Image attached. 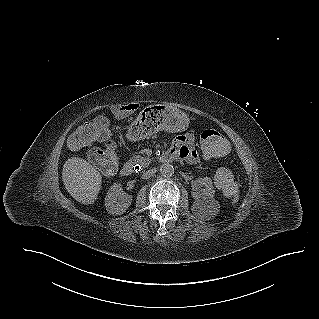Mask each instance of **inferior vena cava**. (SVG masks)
<instances>
[{
  "instance_id": "obj_1",
  "label": "inferior vena cava",
  "mask_w": 319,
  "mask_h": 319,
  "mask_svg": "<svg viewBox=\"0 0 319 319\" xmlns=\"http://www.w3.org/2000/svg\"><path fill=\"white\" fill-rule=\"evenodd\" d=\"M156 173V169H150L148 171H146L143 175L142 178L143 179H149L151 176H153Z\"/></svg>"
}]
</instances>
